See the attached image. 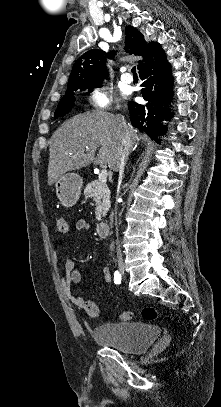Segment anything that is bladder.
Masks as SVG:
<instances>
[{"label":"bladder","mask_w":221,"mask_h":407,"mask_svg":"<svg viewBox=\"0 0 221 407\" xmlns=\"http://www.w3.org/2000/svg\"><path fill=\"white\" fill-rule=\"evenodd\" d=\"M160 332L158 326L146 323H109L95 327L93 338L123 353H142Z\"/></svg>","instance_id":"1"}]
</instances>
